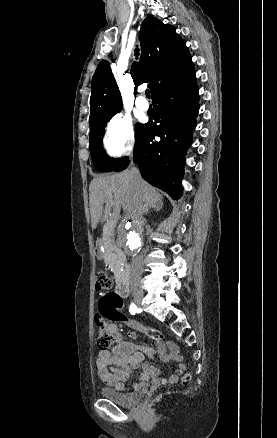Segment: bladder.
I'll return each instance as SVG.
<instances>
[{
	"instance_id": "obj_1",
	"label": "bladder",
	"mask_w": 277,
	"mask_h": 438,
	"mask_svg": "<svg viewBox=\"0 0 277 438\" xmlns=\"http://www.w3.org/2000/svg\"><path fill=\"white\" fill-rule=\"evenodd\" d=\"M99 396H102L105 401L112 402L119 406H134L139 404L142 396L139 393H125L118 388L103 387L99 390Z\"/></svg>"
}]
</instances>
